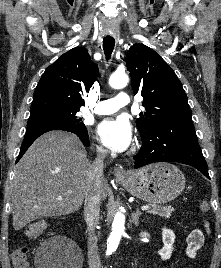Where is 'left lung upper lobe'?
Listing matches in <instances>:
<instances>
[{"instance_id":"1","label":"left lung upper lobe","mask_w":221,"mask_h":268,"mask_svg":"<svg viewBox=\"0 0 221 268\" xmlns=\"http://www.w3.org/2000/svg\"><path fill=\"white\" fill-rule=\"evenodd\" d=\"M134 95L141 93L146 112L136 120L141 137L162 120L192 121V112L180 80L162 57L144 44L133 45L126 54Z\"/></svg>"}]
</instances>
